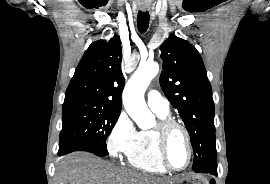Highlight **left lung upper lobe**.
Here are the masks:
<instances>
[{
	"instance_id": "left-lung-upper-lobe-1",
	"label": "left lung upper lobe",
	"mask_w": 270,
	"mask_h": 184,
	"mask_svg": "<svg viewBox=\"0 0 270 184\" xmlns=\"http://www.w3.org/2000/svg\"><path fill=\"white\" fill-rule=\"evenodd\" d=\"M161 88L181 116L194 151L192 170L217 167L212 90L202 58L186 40L171 34L160 46Z\"/></svg>"
}]
</instances>
